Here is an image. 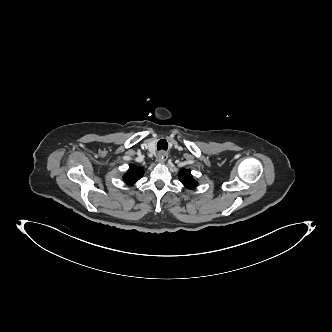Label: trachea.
<instances>
[{
    "label": "trachea",
    "mask_w": 332,
    "mask_h": 332,
    "mask_svg": "<svg viewBox=\"0 0 332 332\" xmlns=\"http://www.w3.org/2000/svg\"><path fill=\"white\" fill-rule=\"evenodd\" d=\"M157 149L158 150H167L168 149V143L165 139H161L157 143Z\"/></svg>",
    "instance_id": "1"
}]
</instances>
